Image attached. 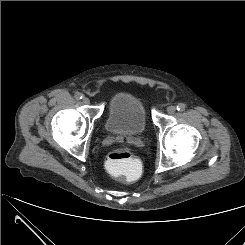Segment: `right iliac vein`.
I'll list each match as a JSON object with an SVG mask.
<instances>
[{"label": "right iliac vein", "mask_w": 245, "mask_h": 245, "mask_svg": "<svg viewBox=\"0 0 245 245\" xmlns=\"http://www.w3.org/2000/svg\"><path fill=\"white\" fill-rule=\"evenodd\" d=\"M82 101H83L84 104H89L90 103V99L87 98V97H84Z\"/></svg>", "instance_id": "63e3f726"}]
</instances>
